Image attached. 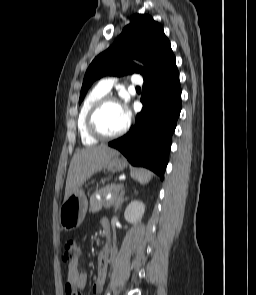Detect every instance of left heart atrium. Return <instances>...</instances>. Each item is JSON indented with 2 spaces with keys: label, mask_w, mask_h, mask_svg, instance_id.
Masks as SVG:
<instances>
[{
  "label": "left heart atrium",
  "mask_w": 256,
  "mask_h": 295,
  "mask_svg": "<svg viewBox=\"0 0 256 295\" xmlns=\"http://www.w3.org/2000/svg\"><path fill=\"white\" fill-rule=\"evenodd\" d=\"M122 112L125 114V116L127 117V107L126 105H120Z\"/></svg>",
  "instance_id": "obj_1"
}]
</instances>
